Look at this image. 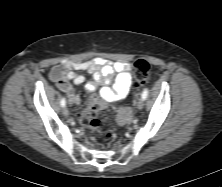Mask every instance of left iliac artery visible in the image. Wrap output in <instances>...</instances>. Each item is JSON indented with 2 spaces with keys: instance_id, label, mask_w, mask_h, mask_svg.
<instances>
[{
  "instance_id": "44dca946",
  "label": "left iliac artery",
  "mask_w": 222,
  "mask_h": 187,
  "mask_svg": "<svg viewBox=\"0 0 222 187\" xmlns=\"http://www.w3.org/2000/svg\"><path fill=\"white\" fill-rule=\"evenodd\" d=\"M147 96H148V89L145 88L143 93H142V98L145 100L147 98Z\"/></svg>"
}]
</instances>
